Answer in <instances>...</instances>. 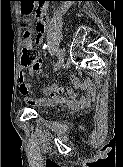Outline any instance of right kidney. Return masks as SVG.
Listing matches in <instances>:
<instances>
[{"mask_svg": "<svg viewBox=\"0 0 123 167\" xmlns=\"http://www.w3.org/2000/svg\"><path fill=\"white\" fill-rule=\"evenodd\" d=\"M69 3H71V2H69ZM68 8H69L68 5H66L65 7L62 8V12L65 13Z\"/></svg>", "mask_w": 123, "mask_h": 167, "instance_id": "ca27d5eb", "label": "right kidney"}]
</instances>
